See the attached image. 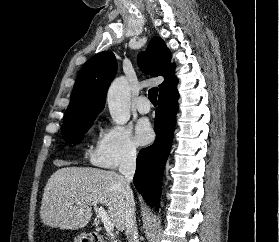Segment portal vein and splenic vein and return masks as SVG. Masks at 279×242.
Wrapping results in <instances>:
<instances>
[{"mask_svg": "<svg viewBox=\"0 0 279 242\" xmlns=\"http://www.w3.org/2000/svg\"><path fill=\"white\" fill-rule=\"evenodd\" d=\"M95 209L102 220L106 232L111 233L114 230V224L109 218V216L107 215V212L102 207L95 206Z\"/></svg>", "mask_w": 279, "mask_h": 242, "instance_id": "portal-vein-and-splenic-vein-1", "label": "portal vein and splenic vein"}]
</instances>
